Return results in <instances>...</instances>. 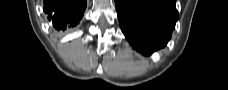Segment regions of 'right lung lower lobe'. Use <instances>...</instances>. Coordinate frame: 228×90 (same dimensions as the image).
Returning <instances> with one entry per match:
<instances>
[{
    "label": "right lung lower lobe",
    "instance_id": "98d812e1",
    "mask_svg": "<svg viewBox=\"0 0 228 90\" xmlns=\"http://www.w3.org/2000/svg\"><path fill=\"white\" fill-rule=\"evenodd\" d=\"M86 0H44V12L56 29L75 26L82 18Z\"/></svg>",
    "mask_w": 228,
    "mask_h": 90
}]
</instances>
